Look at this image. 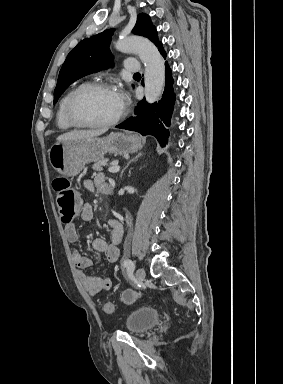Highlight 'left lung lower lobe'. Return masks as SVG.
I'll use <instances>...</instances> for the list:
<instances>
[{
	"instance_id": "0a47b994",
	"label": "left lung lower lobe",
	"mask_w": 283,
	"mask_h": 384,
	"mask_svg": "<svg viewBox=\"0 0 283 384\" xmlns=\"http://www.w3.org/2000/svg\"><path fill=\"white\" fill-rule=\"evenodd\" d=\"M159 52L166 58L162 43L158 46ZM175 103L173 92V78L168 63H165V90L159 103L148 104L145 99L138 102L135 116L130 117L117 128L139 132L142 135H153L161 146L168 142L170 119Z\"/></svg>"
}]
</instances>
